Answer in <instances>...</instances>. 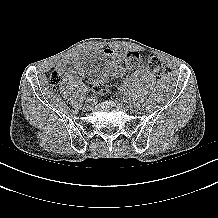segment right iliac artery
<instances>
[{
	"instance_id": "right-iliac-artery-1",
	"label": "right iliac artery",
	"mask_w": 218,
	"mask_h": 218,
	"mask_svg": "<svg viewBox=\"0 0 218 218\" xmlns=\"http://www.w3.org/2000/svg\"><path fill=\"white\" fill-rule=\"evenodd\" d=\"M88 96H89V97H93V96H94V93H93V92H90V93L88 94Z\"/></svg>"
}]
</instances>
